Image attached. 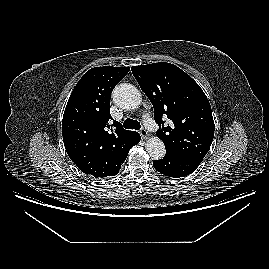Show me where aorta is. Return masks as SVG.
Segmentation results:
<instances>
[{
	"label": "aorta",
	"instance_id": "aorta-1",
	"mask_svg": "<svg viewBox=\"0 0 269 269\" xmlns=\"http://www.w3.org/2000/svg\"><path fill=\"white\" fill-rule=\"evenodd\" d=\"M114 102L127 110L136 109L141 104L139 90L131 84H120L113 91ZM146 150L149 156L155 160L162 159L166 150L163 141L157 136L150 137L146 142Z\"/></svg>",
	"mask_w": 269,
	"mask_h": 269
}]
</instances>
